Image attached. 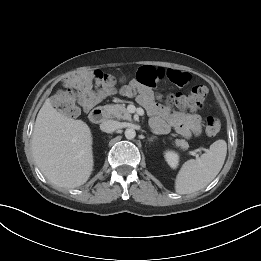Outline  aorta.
I'll return each mask as SVG.
<instances>
[{
    "label": "aorta",
    "mask_w": 261,
    "mask_h": 261,
    "mask_svg": "<svg viewBox=\"0 0 261 261\" xmlns=\"http://www.w3.org/2000/svg\"><path fill=\"white\" fill-rule=\"evenodd\" d=\"M125 137L128 139V140H131V139H134L135 136H136V132L134 129L132 128H128L125 130Z\"/></svg>",
    "instance_id": "762f6f07"
}]
</instances>
